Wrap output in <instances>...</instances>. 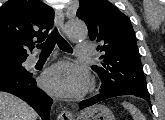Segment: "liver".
Returning <instances> with one entry per match:
<instances>
[{"label":"liver","instance_id":"6515ba94","mask_svg":"<svg viewBox=\"0 0 165 120\" xmlns=\"http://www.w3.org/2000/svg\"><path fill=\"white\" fill-rule=\"evenodd\" d=\"M37 113L23 100L0 92V120H36Z\"/></svg>","mask_w":165,"mask_h":120}]
</instances>
